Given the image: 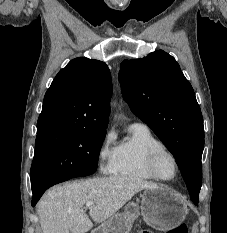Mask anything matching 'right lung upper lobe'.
<instances>
[{
    "label": "right lung upper lobe",
    "instance_id": "obj_1",
    "mask_svg": "<svg viewBox=\"0 0 227 233\" xmlns=\"http://www.w3.org/2000/svg\"><path fill=\"white\" fill-rule=\"evenodd\" d=\"M112 81L108 66L75 58L60 70L47 90L37 133L52 129H106Z\"/></svg>",
    "mask_w": 227,
    "mask_h": 233
}]
</instances>
